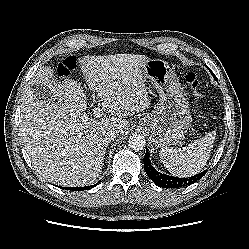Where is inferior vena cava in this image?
I'll return each instance as SVG.
<instances>
[{"label":"inferior vena cava","instance_id":"1","mask_svg":"<svg viewBox=\"0 0 249 249\" xmlns=\"http://www.w3.org/2000/svg\"><path fill=\"white\" fill-rule=\"evenodd\" d=\"M106 138L113 140L116 136H118V131L116 129H110L105 134Z\"/></svg>","mask_w":249,"mask_h":249}]
</instances>
